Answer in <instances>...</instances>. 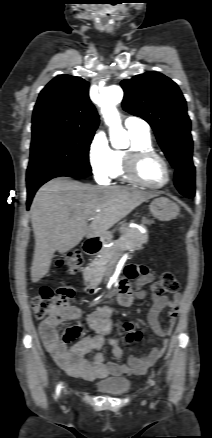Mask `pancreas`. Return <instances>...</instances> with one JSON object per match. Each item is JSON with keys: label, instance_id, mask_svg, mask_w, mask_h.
I'll return each instance as SVG.
<instances>
[{"label": "pancreas", "instance_id": "1", "mask_svg": "<svg viewBox=\"0 0 212 438\" xmlns=\"http://www.w3.org/2000/svg\"><path fill=\"white\" fill-rule=\"evenodd\" d=\"M148 242V236L138 229H127L123 235L110 247L103 248L100 256L95 258L85 269L84 278L87 282H94L96 275L112 269L124 251L135 252L142 249V245Z\"/></svg>", "mask_w": 212, "mask_h": 438}]
</instances>
